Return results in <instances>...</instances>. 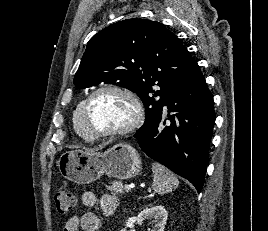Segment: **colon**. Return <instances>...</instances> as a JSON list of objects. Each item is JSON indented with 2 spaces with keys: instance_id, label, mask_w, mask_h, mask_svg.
<instances>
[{
  "instance_id": "1",
  "label": "colon",
  "mask_w": 268,
  "mask_h": 231,
  "mask_svg": "<svg viewBox=\"0 0 268 231\" xmlns=\"http://www.w3.org/2000/svg\"><path fill=\"white\" fill-rule=\"evenodd\" d=\"M56 210L58 213L66 214L76 205V197L69 191H58L54 197Z\"/></svg>"
}]
</instances>
